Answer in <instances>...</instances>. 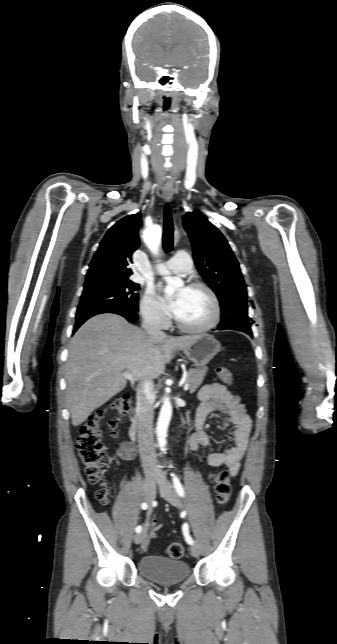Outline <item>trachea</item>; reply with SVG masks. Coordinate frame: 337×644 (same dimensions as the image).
Wrapping results in <instances>:
<instances>
[{
	"instance_id": "obj_1",
	"label": "trachea",
	"mask_w": 337,
	"mask_h": 644,
	"mask_svg": "<svg viewBox=\"0 0 337 644\" xmlns=\"http://www.w3.org/2000/svg\"><path fill=\"white\" fill-rule=\"evenodd\" d=\"M173 223L170 208L168 205L165 207L164 212V230H163V248L169 252L173 247Z\"/></svg>"
}]
</instances>
